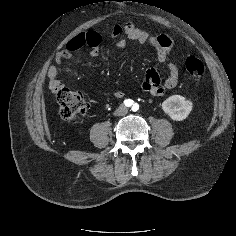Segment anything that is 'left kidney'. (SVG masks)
Returning <instances> with one entry per match:
<instances>
[{
  "label": "left kidney",
  "instance_id": "1",
  "mask_svg": "<svg viewBox=\"0 0 236 236\" xmlns=\"http://www.w3.org/2000/svg\"><path fill=\"white\" fill-rule=\"evenodd\" d=\"M193 107L190 100L181 95H172L162 103L163 111L175 121H182L187 118Z\"/></svg>",
  "mask_w": 236,
  "mask_h": 236
}]
</instances>
